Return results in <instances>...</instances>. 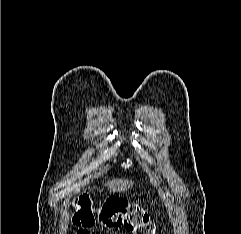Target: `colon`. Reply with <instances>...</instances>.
<instances>
[{
	"mask_svg": "<svg viewBox=\"0 0 241 234\" xmlns=\"http://www.w3.org/2000/svg\"><path fill=\"white\" fill-rule=\"evenodd\" d=\"M79 204L80 210L74 216L77 225L91 227L98 222L107 227L122 226L130 234L154 233V225L148 214L136 205H130L122 200L110 197L102 203L100 209L96 212L87 196L80 198Z\"/></svg>",
	"mask_w": 241,
	"mask_h": 234,
	"instance_id": "5ec220e1",
	"label": "colon"
}]
</instances>
